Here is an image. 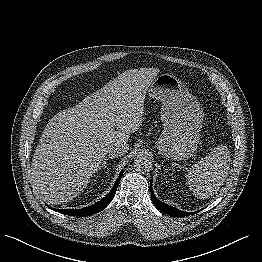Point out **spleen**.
Segmentation results:
<instances>
[{
  "label": "spleen",
  "mask_w": 262,
  "mask_h": 262,
  "mask_svg": "<svg viewBox=\"0 0 262 262\" xmlns=\"http://www.w3.org/2000/svg\"><path fill=\"white\" fill-rule=\"evenodd\" d=\"M230 161L226 146L215 147L206 157L192 165L186 174L189 189L201 199L212 196L223 185L229 172Z\"/></svg>",
  "instance_id": "1"
}]
</instances>
